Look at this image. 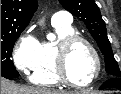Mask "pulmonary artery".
<instances>
[{"label":"pulmonary artery","instance_id":"pulmonary-artery-1","mask_svg":"<svg viewBox=\"0 0 121 94\" xmlns=\"http://www.w3.org/2000/svg\"><path fill=\"white\" fill-rule=\"evenodd\" d=\"M52 22L70 24L71 23V15L66 11H58L53 15Z\"/></svg>","mask_w":121,"mask_h":94}]
</instances>
